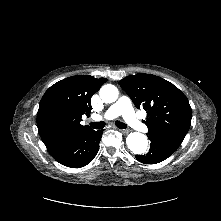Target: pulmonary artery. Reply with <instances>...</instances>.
<instances>
[{"mask_svg":"<svg viewBox=\"0 0 221 221\" xmlns=\"http://www.w3.org/2000/svg\"><path fill=\"white\" fill-rule=\"evenodd\" d=\"M122 116L123 119L134 129L141 130L144 125L134 113L130 98L122 96L116 103L110 106L101 116L103 119H113Z\"/></svg>","mask_w":221,"mask_h":221,"instance_id":"pulmonary-artery-1","label":"pulmonary artery"}]
</instances>
